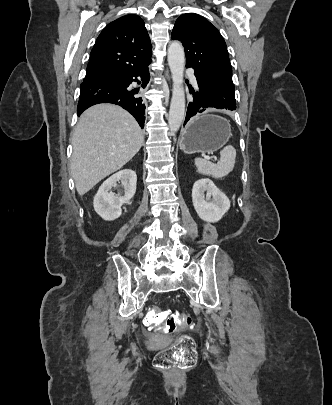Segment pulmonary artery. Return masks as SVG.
<instances>
[{
  "label": "pulmonary artery",
  "mask_w": 332,
  "mask_h": 405,
  "mask_svg": "<svg viewBox=\"0 0 332 405\" xmlns=\"http://www.w3.org/2000/svg\"><path fill=\"white\" fill-rule=\"evenodd\" d=\"M188 74H189V77H190L191 81L194 84H196V77L194 76V74L192 72H190V71L188 72Z\"/></svg>",
  "instance_id": "e3ab8cb5"
}]
</instances>
